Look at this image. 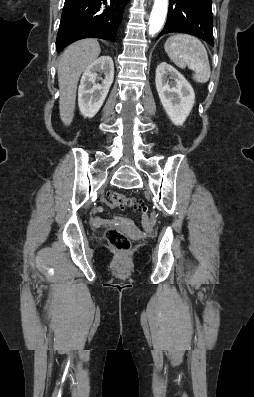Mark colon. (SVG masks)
<instances>
[{"mask_svg": "<svg viewBox=\"0 0 254 397\" xmlns=\"http://www.w3.org/2000/svg\"><path fill=\"white\" fill-rule=\"evenodd\" d=\"M111 202L118 208H130L145 212L146 206L132 196L113 192L110 194ZM106 238L111 247L120 253H126L131 249V240L120 229L111 227L106 231Z\"/></svg>", "mask_w": 254, "mask_h": 397, "instance_id": "1", "label": "colon"}]
</instances>
